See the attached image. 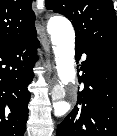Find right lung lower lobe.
I'll return each mask as SVG.
<instances>
[{"instance_id":"1","label":"right lung lower lobe","mask_w":117,"mask_h":136,"mask_svg":"<svg viewBox=\"0 0 117 136\" xmlns=\"http://www.w3.org/2000/svg\"><path fill=\"white\" fill-rule=\"evenodd\" d=\"M38 47L36 30L0 47V136H24Z\"/></svg>"}]
</instances>
